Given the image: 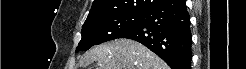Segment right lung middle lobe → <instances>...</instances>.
<instances>
[{"instance_id": "1", "label": "right lung middle lobe", "mask_w": 246, "mask_h": 69, "mask_svg": "<svg viewBox=\"0 0 246 69\" xmlns=\"http://www.w3.org/2000/svg\"><path fill=\"white\" fill-rule=\"evenodd\" d=\"M141 19L142 14H120L86 21L82 27V39L76 52L119 38L127 30L137 26Z\"/></svg>"}]
</instances>
